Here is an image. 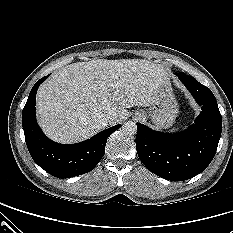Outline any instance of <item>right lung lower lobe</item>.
Listing matches in <instances>:
<instances>
[{"instance_id":"1","label":"right lung lower lobe","mask_w":233,"mask_h":233,"mask_svg":"<svg viewBox=\"0 0 233 233\" xmlns=\"http://www.w3.org/2000/svg\"><path fill=\"white\" fill-rule=\"evenodd\" d=\"M48 76L33 86L22 112V126L29 153L52 176L70 178L87 173L99 163L105 153L107 138L121 125L108 128L76 144H58L47 138L36 122L35 102L37 89Z\"/></svg>"}]
</instances>
